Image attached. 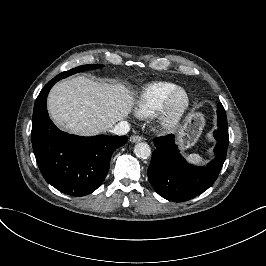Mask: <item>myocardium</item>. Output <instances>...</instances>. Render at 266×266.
I'll use <instances>...</instances> for the list:
<instances>
[{
  "mask_svg": "<svg viewBox=\"0 0 266 266\" xmlns=\"http://www.w3.org/2000/svg\"><path fill=\"white\" fill-rule=\"evenodd\" d=\"M183 93L186 99L184 108L175 113L173 104L176 97ZM193 107V100L190 92L185 87L176 88L163 102L162 106L155 114V125L163 133H173L180 128L188 118Z\"/></svg>",
  "mask_w": 266,
  "mask_h": 266,
  "instance_id": "f54148a6",
  "label": "myocardium"
}]
</instances>
